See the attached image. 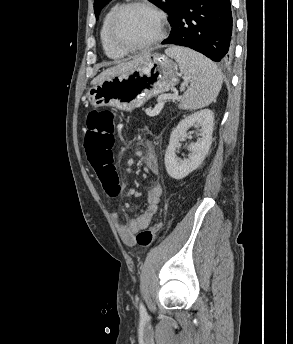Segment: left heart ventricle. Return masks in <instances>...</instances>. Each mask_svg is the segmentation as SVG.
Wrapping results in <instances>:
<instances>
[{"instance_id": "1", "label": "left heart ventricle", "mask_w": 293, "mask_h": 344, "mask_svg": "<svg viewBox=\"0 0 293 344\" xmlns=\"http://www.w3.org/2000/svg\"><path fill=\"white\" fill-rule=\"evenodd\" d=\"M158 32V21L150 11L134 7L125 10L117 23L118 38L128 45L143 44Z\"/></svg>"}]
</instances>
